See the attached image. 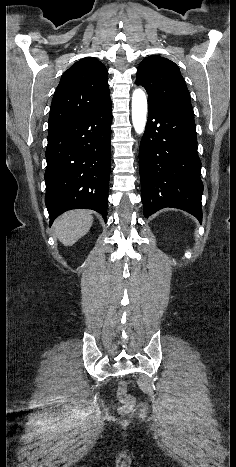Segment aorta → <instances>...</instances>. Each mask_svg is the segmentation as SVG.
Masks as SVG:
<instances>
[{"mask_svg":"<svg viewBox=\"0 0 236 467\" xmlns=\"http://www.w3.org/2000/svg\"><path fill=\"white\" fill-rule=\"evenodd\" d=\"M147 120V98L142 89L132 95V123L137 134L144 133Z\"/></svg>","mask_w":236,"mask_h":467,"instance_id":"762f6f07","label":"aorta"}]
</instances>
